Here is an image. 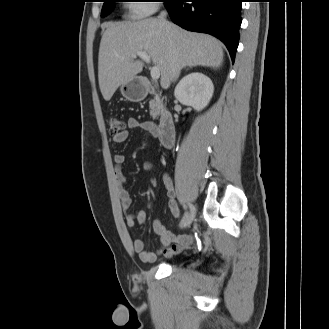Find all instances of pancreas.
I'll list each match as a JSON object with an SVG mask.
<instances>
[{"label":"pancreas","instance_id":"pancreas-1","mask_svg":"<svg viewBox=\"0 0 329 329\" xmlns=\"http://www.w3.org/2000/svg\"><path fill=\"white\" fill-rule=\"evenodd\" d=\"M149 107H150V115L153 119H156L160 112L164 109L162 101H157L155 99H152L149 102Z\"/></svg>","mask_w":329,"mask_h":329}]
</instances>
